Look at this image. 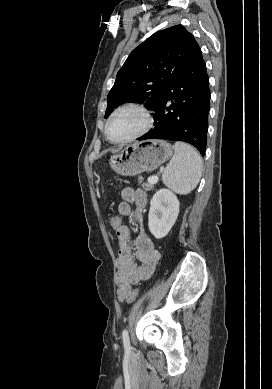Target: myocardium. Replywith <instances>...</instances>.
Returning a JSON list of instances; mask_svg holds the SVG:
<instances>
[{
	"instance_id": "1",
	"label": "myocardium",
	"mask_w": 272,
	"mask_h": 389,
	"mask_svg": "<svg viewBox=\"0 0 272 389\" xmlns=\"http://www.w3.org/2000/svg\"><path fill=\"white\" fill-rule=\"evenodd\" d=\"M124 110H135V111L139 112L143 117V125L141 126V128L139 130H137L134 134L130 135L129 137L124 138V139H120V140H114L110 137L109 125H110L112 119L118 113H120L121 111H124ZM152 124H153V117H152L151 112L148 110V108L142 104L131 102V103H126V104H123V105L117 107L110 114V116L108 117V119L106 121L104 131H105V135H106L109 142H111L113 144H124V143L134 141V140L142 137L143 135H145L152 127Z\"/></svg>"
}]
</instances>
